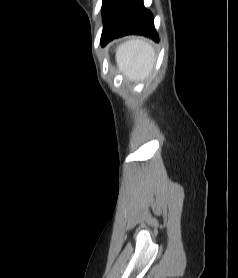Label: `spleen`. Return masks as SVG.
<instances>
[{"label":"spleen","mask_w":238,"mask_h":278,"mask_svg":"<svg viewBox=\"0 0 238 278\" xmlns=\"http://www.w3.org/2000/svg\"><path fill=\"white\" fill-rule=\"evenodd\" d=\"M119 70L133 81H141L149 76L156 55L153 47L144 38L132 37L121 44L116 51Z\"/></svg>","instance_id":"obj_1"}]
</instances>
